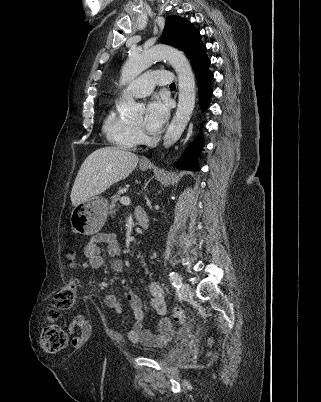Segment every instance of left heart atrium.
I'll return each instance as SVG.
<instances>
[{
    "instance_id": "obj_1",
    "label": "left heart atrium",
    "mask_w": 321,
    "mask_h": 402,
    "mask_svg": "<svg viewBox=\"0 0 321 402\" xmlns=\"http://www.w3.org/2000/svg\"><path fill=\"white\" fill-rule=\"evenodd\" d=\"M169 117V106L164 100L154 98L146 106L145 127L150 133H158Z\"/></svg>"
}]
</instances>
